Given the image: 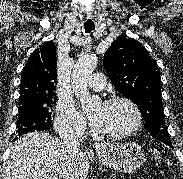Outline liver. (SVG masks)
<instances>
[{
  "label": "liver",
  "mask_w": 183,
  "mask_h": 179,
  "mask_svg": "<svg viewBox=\"0 0 183 179\" xmlns=\"http://www.w3.org/2000/svg\"><path fill=\"white\" fill-rule=\"evenodd\" d=\"M89 158L72 156L63 142L45 132H31L11 147L3 179H86Z\"/></svg>",
  "instance_id": "liver-1"
}]
</instances>
